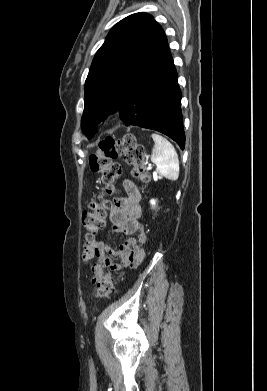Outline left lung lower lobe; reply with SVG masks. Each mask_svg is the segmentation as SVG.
<instances>
[{
  "mask_svg": "<svg viewBox=\"0 0 267 391\" xmlns=\"http://www.w3.org/2000/svg\"><path fill=\"white\" fill-rule=\"evenodd\" d=\"M181 90L169 49L140 78L119 111L126 126L135 125L159 131L173 139L183 150ZM88 138L94 131L85 134Z\"/></svg>",
  "mask_w": 267,
  "mask_h": 391,
  "instance_id": "0a47b994",
  "label": "left lung lower lobe"
}]
</instances>
